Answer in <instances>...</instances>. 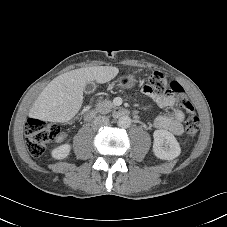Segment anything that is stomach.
<instances>
[{
	"label": "stomach",
	"mask_w": 227,
	"mask_h": 227,
	"mask_svg": "<svg viewBox=\"0 0 227 227\" xmlns=\"http://www.w3.org/2000/svg\"><path fill=\"white\" fill-rule=\"evenodd\" d=\"M117 86L122 89H131L135 86L136 79L133 75H124L117 81Z\"/></svg>",
	"instance_id": "obj_1"
}]
</instances>
